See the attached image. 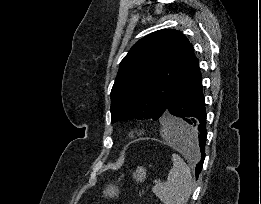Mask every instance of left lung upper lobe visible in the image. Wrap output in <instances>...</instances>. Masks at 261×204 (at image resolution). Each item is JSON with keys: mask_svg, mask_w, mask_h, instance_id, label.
<instances>
[{"mask_svg": "<svg viewBox=\"0 0 261 204\" xmlns=\"http://www.w3.org/2000/svg\"><path fill=\"white\" fill-rule=\"evenodd\" d=\"M194 58L191 43L177 30L140 39L120 63L110 94L111 122L158 120Z\"/></svg>", "mask_w": 261, "mask_h": 204, "instance_id": "left-lung-upper-lobe-1", "label": "left lung upper lobe"}]
</instances>
